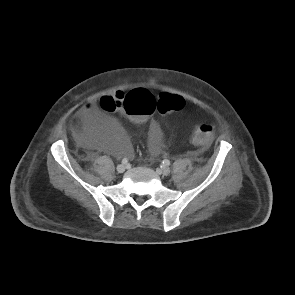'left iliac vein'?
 Masks as SVG:
<instances>
[{
  "instance_id": "1",
  "label": "left iliac vein",
  "mask_w": 295,
  "mask_h": 295,
  "mask_svg": "<svg viewBox=\"0 0 295 295\" xmlns=\"http://www.w3.org/2000/svg\"><path fill=\"white\" fill-rule=\"evenodd\" d=\"M170 172H171V170H170L169 167H163V168L160 169V173H161L162 175H165V176H166V175H169Z\"/></svg>"
}]
</instances>
